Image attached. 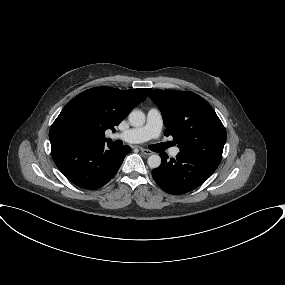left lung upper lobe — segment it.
<instances>
[{
  "label": "left lung upper lobe",
  "mask_w": 285,
  "mask_h": 285,
  "mask_svg": "<svg viewBox=\"0 0 285 285\" xmlns=\"http://www.w3.org/2000/svg\"><path fill=\"white\" fill-rule=\"evenodd\" d=\"M159 107L166 130L180 152L221 162L226 130L211 105L193 92L154 90L149 96Z\"/></svg>",
  "instance_id": "1"
}]
</instances>
